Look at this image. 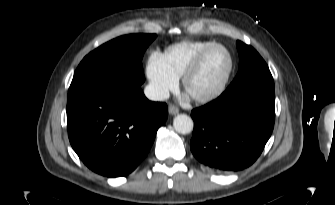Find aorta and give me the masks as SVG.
Instances as JSON below:
<instances>
[{
	"label": "aorta",
	"instance_id": "aorta-1",
	"mask_svg": "<svg viewBox=\"0 0 335 205\" xmlns=\"http://www.w3.org/2000/svg\"><path fill=\"white\" fill-rule=\"evenodd\" d=\"M174 129L180 134H189L194 127L191 117L186 114H179L173 120Z\"/></svg>",
	"mask_w": 335,
	"mask_h": 205
}]
</instances>
